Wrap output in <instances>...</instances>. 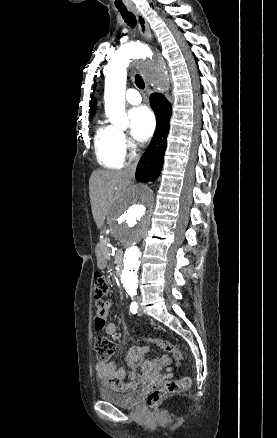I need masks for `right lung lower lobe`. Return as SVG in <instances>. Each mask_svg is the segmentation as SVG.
<instances>
[{"mask_svg": "<svg viewBox=\"0 0 277 438\" xmlns=\"http://www.w3.org/2000/svg\"><path fill=\"white\" fill-rule=\"evenodd\" d=\"M151 105L158 124L155 136L137 166L136 179L140 182L155 181L160 175L167 145L169 120L172 114L171 104L161 94L151 95Z\"/></svg>", "mask_w": 277, "mask_h": 438, "instance_id": "obj_1", "label": "right lung lower lobe"}]
</instances>
